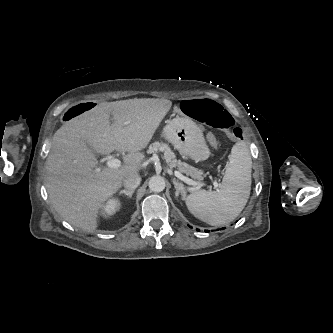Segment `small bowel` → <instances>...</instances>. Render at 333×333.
I'll return each instance as SVG.
<instances>
[{"instance_id":"obj_1","label":"small bowel","mask_w":333,"mask_h":333,"mask_svg":"<svg viewBox=\"0 0 333 333\" xmlns=\"http://www.w3.org/2000/svg\"><path fill=\"white\" fill-rule=\"evenodd\" d=\"M173 112L175 113V115L180 116L182 118H188L189 114L188 112H184L180 109H178V107H173ZM194 127L198 128L199 130H201L202 132L205 133V136L209 139V145L211 146V148L213 150H216L218 148V146L223 147L226 145L227 140L225 137L221 136V135H214L213 132H211V130H209L207 128V126L203 125V123L201 122H194Z\"/></svg>"}]
</instances>
